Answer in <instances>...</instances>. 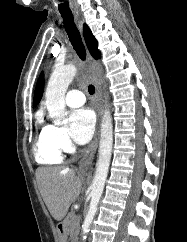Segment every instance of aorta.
Listing matches in <instances>:
<instances>
[{
    "mask_svg": "<svg viewBox=\"0 0 187 242\" xmlns=\"http://www.w3.org/2000/svg\"><path fill=\"white\" fill-rule=\"evenodd\" d=\"M77 68L75 65L68 64L58 66L54 69L49 79L46 89V106L49 116L55 122H61L66 116L65 111V94L69 84L76 75ZM113 146V124L109 109H105L102 123L98 161L96 164V171L94 174L93 183L91 186V202L89 211L86 215L83 224V238H86L89 226L97 210L99 199L103 193L105 181L108 175L109 165L111 161Z\"/></svg>",
    "mask_w": 187,
    "mask_h": 242,
    "instance_id": "aorta-1",
    "label": "aorta"
}]
</instances>
